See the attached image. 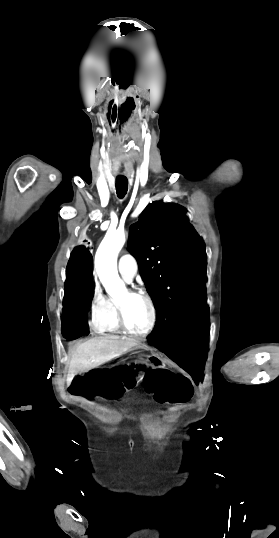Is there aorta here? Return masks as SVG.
<instances>
[{"label": "aorta", "instance_id": "aorta-1", "mask_svg": "<svg viewBox=\"0 0 279 538\" xmlns=\"http://www.w3.org/2000/svg\"><path fill=\"white\" fill-rule=\"evenodd\" d=\"M125 241L123 230L108 231L95 255L96 272L107 294L112 298H121L127 293L117 271V257Z\"/></svg>", "mask_w": 279, "mask_h": 538}]
</instances>
